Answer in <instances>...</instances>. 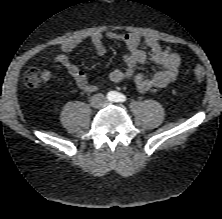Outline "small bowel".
Wrapping results in <instances>:
<instances>
[{"mask_svg":"<svg viewBox=\"0 0 222 219\" xmlns=\"http://www.w3.org/2000/svg\"><path fill=\"white\" fill-rule=\"evenodd\" d=\"M106 38L125 44L128 53L124 56V67L114 69L109 74L112 82L132 80L139 92H147L153 88H164L174 82L179 74L181 67L180 56L170 47H163L156 37L147 35L143 39L136 33H118L108 31ZM95 56L101 57L106 53L103 43V35L95 33L91 37ZM80 40L68 41L62 44L60 53L53 56L55 63L63 66L75 80L77 87L84 92H94L97 85L73 62L70 61L68 54L78 45ZM147 60L158 67L152 76H146L136 70L137 66L144 64ZM42 82L48 83L52 77L49 70L41 73Z\"/></svg>","mask_w":222,"mask_h":219,"instance_id":"c3829d8e","label":"small bowel"}]
</instances>
